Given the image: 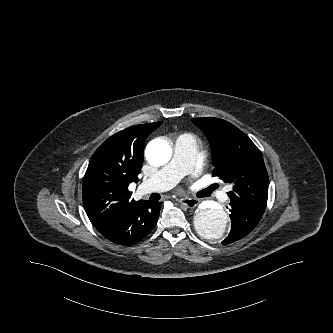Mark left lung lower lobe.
Returning <instances> with one entry per match:
<instances>
[{
    "instance_id": "0a47b994",
    "label": "left lung lower lobe",
    "mask_w": 333,
    "mask_h": 333,
    "mask_svg": "<svg viewBox=\"0 0 333 333\" xmlns=\"http://www.w3.org/2000/svg\"><path fill=\"white\" fill-rule=\"evenodd\" d=\"M228 208V207H227ZM231 230L223 245L237 241L249 234L259 223L264 211L230 202Z\"/></svg>"
}]
</instances>
